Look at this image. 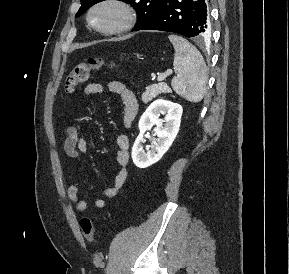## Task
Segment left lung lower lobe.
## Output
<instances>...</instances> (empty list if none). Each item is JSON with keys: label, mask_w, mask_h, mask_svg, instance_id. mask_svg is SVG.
Returning <instances> with one entry per match:
<instances>
[{"label": "left lung lower lobe", "mask_w": 289, "mask_h": 274, "mask_svg": "<svg viewBox=\"0 0 289 274\" xmlns=\"http://www.w3.org/2000/svg\"><path fill=\"white\" fill-rule=\"evenodd\" d=\"M137 30H160L202 40L209 36L205 0H165L155 15Z\"/></svg>", "instance_id": "1"}]
</instances>
